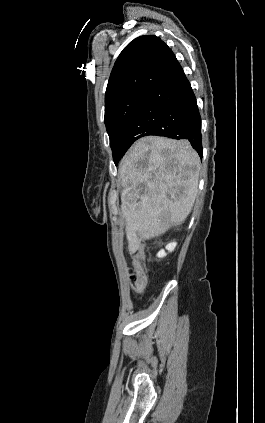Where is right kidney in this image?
<instances>
[{
	"instance_id": "ca27d5eb",
	"label": "right kidney",
	"mask_w": 265,
	"mask_h": 423,
	"mask_svg": "<svg viewBox=\"0 0 265 423\" xmlns=\"http://www.w3.org/2000/svg\"><path fill=\"white\" fill-rule=\"evenodd\" d=\"M176 245H177V243H176V242H171V243H169V244L166 246V250H168L169 252H172V251L175 249ZM166 255H167V254H166V252H165L164 250H160V251L158 252V254H157V257H159V258H163V257H165Z\"/></svg>"
}]
</instances>
